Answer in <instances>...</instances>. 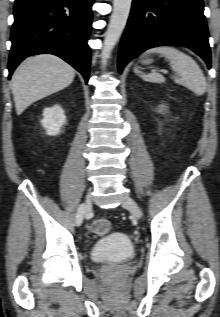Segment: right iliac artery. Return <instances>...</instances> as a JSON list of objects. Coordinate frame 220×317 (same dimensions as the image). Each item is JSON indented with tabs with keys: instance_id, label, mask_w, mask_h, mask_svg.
Masks as SVG:
<instances>
[{
	"instance_id": "obj_1",
	"label": "right iliac artery",
	"mask_w": 220,
	"mask_h": 317,
	"mask_svg": "<svg viewBox=\"0 0 220 317\" xmlns=\"http://www.w3.org/2000/svg\"><path fill=\"white\" fill-rule=\"evenodd\" d=\"M83 214H84V204H81L78 208L76 219H75V223L77 226H79L82 223Z\"/></svg>"
}]
</instances>
